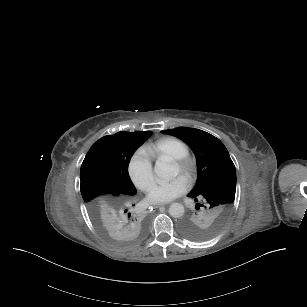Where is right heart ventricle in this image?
<instances>
[{
    "label": "right heart ventricle",
    "instance_id": "right-heart-ventricle-1",
    "mask_svg": "<svg viewBox=\"0 0 307 307\" xmlns=\"http://www.w3.org/2000/svg\"><path fill=\"white\" fill-rule=\"evenodd\" d=\"M191 144L179 137H167L165 138L162 147L157 151L159 156H166V157H180L183 154L190 152Z\"/></svg>",
    "mask_w": 307,
    "mask_h": 307
}]
</instances>
